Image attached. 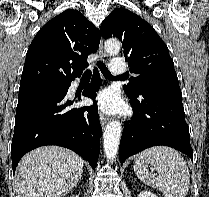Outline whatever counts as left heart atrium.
<instances>
[{
  "label": "left heart atrium",
  "instance_id": "1",
  "mask_svg": "<svg viewBox=\"0 0 209 197\" xmlns=\"http://www.w3.org/2000/svg\"><path fill=\"white\" fill-rule=\"evenodd\" d=\"M96 102L99 108L107 113H113L123 109V103L114 89H105L99 93Z\"/></svg>",
  "mask_w": 209,
  "mask_h": 197
}]
</instances>
